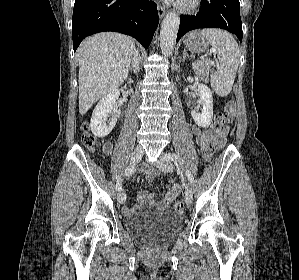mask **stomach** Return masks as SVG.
I'll return each instance as SVG.
<instances>
[{
  "mask_svg": "<svg viewBox=\"0 0 299 280\" xmlns=\"http://www.w3.org/2000/svg\"><path fill=\"white\" fill-rule=\"evenodd\" d=\"M208 40L203 37L199 32L190 33L184 40L185 47L195 53L205 51L209 46Z\"/></svg>",
  "mask_w": 299,
  "mask_h": 280,
  "instance_id": "obj_1",
  "label": "stomach"
}]
</instances>
